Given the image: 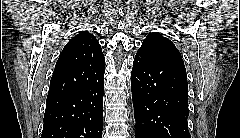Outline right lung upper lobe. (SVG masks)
Wrapping results in <instances>:
<instances>
[{
  "label": "right lung upper lobe",
  "instance_id": "cb5924a9",
  "mask_svg": "<svg viewBox=\"0 0 240 138\" xmlns=\"http://www.w3.org/2000/svg\"><path fill=\"white\" fill-rule=\"evenodd\" d=\"M103 75L104 56L100 44L89 32H80L63 48L47 98L88 87Z\"/></svg>",
  "mask_w": 240,
  "mask_h": 138
}]
</instances>
